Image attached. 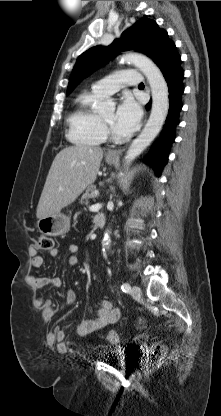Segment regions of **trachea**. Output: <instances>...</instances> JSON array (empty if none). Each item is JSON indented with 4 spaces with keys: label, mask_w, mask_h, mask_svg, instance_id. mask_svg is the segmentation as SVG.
<instances>
[{
    "label": "trachea",
    "mask_w": 221,
    "mask_h": 416,
    "mask_svg": "<svg viewBox=\"0 0 221 416\" xmlns=\"http://www.w3.org/2000/svg\"><path fill=\"white\" fill-rule=\"evenodd\" d=\"M143 86H144V84H143V83H140V84H139V87H143Z\"/></svg>",
    "instance_id": "1"
}]
</instances>
